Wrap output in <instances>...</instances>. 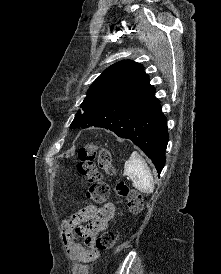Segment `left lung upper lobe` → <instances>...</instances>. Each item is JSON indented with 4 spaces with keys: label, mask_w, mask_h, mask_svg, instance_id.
Instances as JSON below:
<instances>
[{
    "label": "left lung upper lobe",
    "mask_w": 221,
    "mask_h": 274,
    "mask_svg": "<svg viewBox=\"0 0 221 274\" xmlns=\"http://www.w3.org/2000/svg\"><path fill=\"white\" fill-rule=\"evenodd\" d=\"M141 64L123 60L107 68L91 85L70 128H86L97 122L94 111L109 104L137 98L148 86Z\"/></svg>",
    "instance_id": "obj_1"
}]
</instances>
